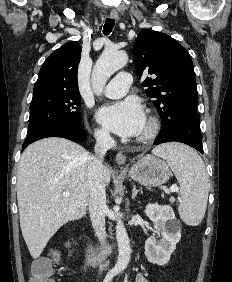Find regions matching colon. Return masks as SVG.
I'll return each mask as SVG.
<instances>
[{
  "instance_id": "colon-1",
  "label": "colon",
  "mask_w": 232,
  "mask_h": 282,
  "mask_svg": "<svg viewBox=\"0 0 232 282\" xmlns=\"http://www.w3.org/2000/svg\"><path fill=\"white\" fill-rule=\"evenodd\" d=\"M53 273L52 260L48 258H39L31 265L29 282H55Z\"/></svg>"
}]
</instances>
